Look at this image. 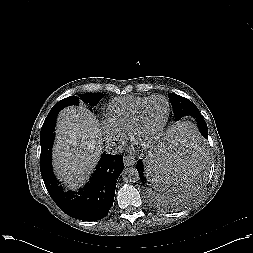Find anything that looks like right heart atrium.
Returning <instances> with one entry per match:
<instances>
[{
	"mask_svg": "<svg viewBox=\"0 0 253 253\" xmlns=\"http://www.w3.org/2000/svg\"><path fill=\"white\" fill-rule=\"evenodd\" d=\"M102 128H103V131L109 141H111V142H122L123 141V136L112 131L107 123H104Z\"/></svg>",
	"mask_w": 253,
	"mask_h": 253,
	"instance_id": "d8ad5b80",
	"label": "right heart atrium"
}]
</instances>
